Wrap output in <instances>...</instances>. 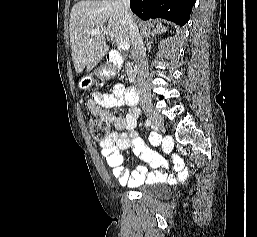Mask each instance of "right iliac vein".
<instances>
[{
	"instance_id": "1",
	"label": "right iliac vein",
	"mask_w": 257,
	"mask_h": 237,
	"mask_svg": "<svg viewBox=\"0 0 257 237\" xmlns=\"http://www.w3.org/2000/svg\"><path fill=\"white\" fill-rule=\"evenodd\" d=\"M145 113L151 123L153 124L154 128L157 130L162 129L163 126V120L162 117L159 115V113L153 108V107H146Z\"/></svg>"
}]
</instances>
